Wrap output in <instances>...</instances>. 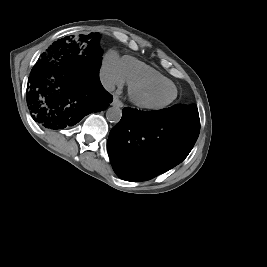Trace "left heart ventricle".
Wrapping results in <instances>:
<instances>
[{"label": "left heart ventricle", "instance_id": "1", "mask_svg": "<svg viewBox=\"0 0 267 267\" xmlns=\"http://www.w3.org/2000/svg\"><path fill=\"white\" fill-rule=\"evenodd\" d=\"M175 90L171 85H154L141 89L139 97L150 104H163L173 98Z\"/></svg>", "mask_w": 267, "mask_h": 267}]
</instances>
